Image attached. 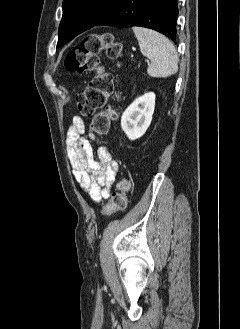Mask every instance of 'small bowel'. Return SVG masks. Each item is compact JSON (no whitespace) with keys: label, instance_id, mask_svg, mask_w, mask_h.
I'll return each instance as SVG.
<instances>
[{"label":"small bowel","instance_id":"small-bowel-1","mask_svg":"<svg viewBox=\"0 0 240 329\" xmlns=\"http://www.w3.org/2000/svg\"><path fill=\"white\" fill-rule=\"evenodd\" d=\"M85 132L84 120L79 116L72 117L66 135L68 157L75 180L92 200L100 202L109 197L118 166L106 147L98 148L95 159L92 145L84 137ZM89 136L96 138L92 133Z\"/></svg>","mask_w":240,"mask_h":329}]
</instances>
